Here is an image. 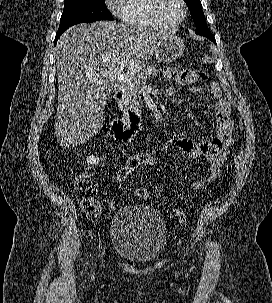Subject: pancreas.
Returning a JSON list of instances; mask_svg holds the SVG:
<instances>
[{
    "instance_id": "pancreas-1",
    "label": "pancreas",
    "mask_w": 272,
    "mask_h": 303,
    "mask_svg": "<svg viewBox=\"0 0 272 303\" xmlns=\"http://www.w3.org/2000/svg\"><path fill=\"white\" fill-rule=\"evenodd\" d=\"M159 72L160 70L156 69V65H149L134 76L131 83L126 85L125 94L132 105L139 106V98L143 89L140 85H145L150 76L154 78L159 74Z\"/></svg>"
}]
</instances>
